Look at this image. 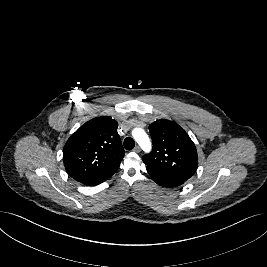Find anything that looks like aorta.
Segmentation results:
<instances>
[{"label":"aorta","mask_w":267,"mask_h":267,"mask_svg":"<svg viewBox=\"0 0 267 267\" xmlns=\"http://www.w3.org/2000/svg\"><path fill=\"white\" fill-rule=\"evenodd\" d=\"M132 135L134 139L137 141L139 146L145 151L150 152L151 150V142L146 134V132L142 128H135L132 131Z\"/></svg>","instance_id":"1"}]
</instances>
